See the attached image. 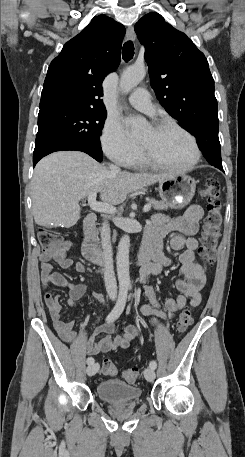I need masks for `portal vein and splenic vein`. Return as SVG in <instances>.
I'll return each mask as SVG.
<instances>
[{
  "instance_id": "18ae733b",
  "label": "portal vein and splenic vein",
  "mask_w": 245,
  "mask_h": 457,
  "mask_svg": "<svg viewBox=\"0 0 245 457\" xmlns=\"http://www.w3.org/2000/svg\"><path fill=\"white\" fill-rule=\"evenodd\" d=\"M97 192H90L88 194V202L90 208H93V210H99V212H108V214H113V212H116V206H113V204H108V202H97L96 200ZM151 204H145L143 210L144 212H147V210H150Z\"/></svg>"
}]
</instances>
